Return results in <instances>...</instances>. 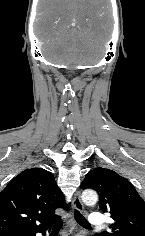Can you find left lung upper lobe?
I'll return each mask as SVG.
<instances>
[{
	"label": "left lung upper lobe",
	"instance_id": "left-lung-upper-lobe-1",
	"mask_svg": "<svg viewBox=\"0 0 145 236\" xmlns=\"http://www.w3.org/2000/svg\"><path fill=\"white\" fill-rule=\"evenodd\" d=\"M82 188L99 193V206L111 214V232L98 236H145V203L133 185L116 172L95 168L87 173Z\"/></svg>",
	"mask_w": 145,
	"mask_h": 236
}]
</instances>
